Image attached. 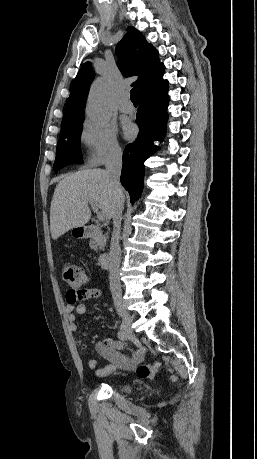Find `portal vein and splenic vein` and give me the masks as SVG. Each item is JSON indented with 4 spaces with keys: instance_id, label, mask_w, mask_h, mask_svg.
Instances as JSON below:
<instances>
[{
    "instance_id": "obj_1",
    "label": "portal vein and splenic vein",
    "mask_w": 257,
    "mask_h": 459,
    "mask_svg": "<svg viewBox=\"0 0 257 459\" xmlns=\"http://www.w3.org/2000/svg\"><path fill=\"white\" fill-rule=\"evenodd\" d=\"M89 204L91 205L92 210L97 214L98 220L104 221L106 219L105 214L98 210L97 205L93 201H90Z\"/></svg>"
}]
</instances>
